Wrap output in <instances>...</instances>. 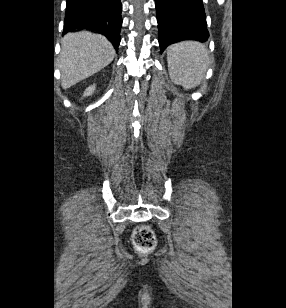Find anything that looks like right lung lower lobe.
I'll return each mask as SVG.
<instances>
[{
	"label": "right lung lower lobe",
	"mask_w": 286,
	"mask_h": 308,
	"mask_svg": "<svg viewBox=\"0 0 286 308\" xmlns=\"http://www.w3.org/2000/svg\"><path fill=\"white\" fill-rule=\"evenodd\" d=\"M121 10L120 0H66L63 34L75 29L95 30L105 35L118 51Z\"/></svg>",
	"instance_id": "right-lung-lower-lobe-1"
}]
</instances>
